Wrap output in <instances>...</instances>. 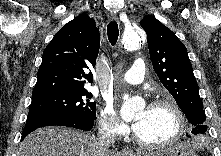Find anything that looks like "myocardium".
Instances as JSON below:
<instances>
[{"mask_svg": "<svg viewBox=\"0 0 221 156\" xmlns=\"http://www.w3.org/2000/svg\"><path fill=\"white\" fill-rule=\"evenodd\" d=\"M149 107H167L169 109H171L173 111V113L176 116L177 119V130L175 132V134L168 140L163 141V142H147L144 141L143 139H141L138 134L136 133V131H134L133 137L135 139V141L145 147V148H165L168 146H171L175 143H177L184 135L185 131H186V118L185 115L182 111V109L178 106V104L176 102H174L171 99H167V98H162V99H157L155 101H153Z\"/></svg>", "mask_w": 221, "mask_h": 156, "instance_id": "1", "label": "myocardium"}]
</instances>
